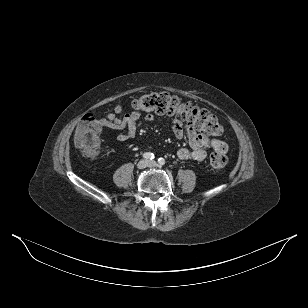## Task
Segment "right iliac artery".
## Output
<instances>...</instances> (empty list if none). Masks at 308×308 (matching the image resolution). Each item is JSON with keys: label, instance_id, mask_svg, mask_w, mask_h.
<instances>
[{"label": "right iliac artery", "instance_id": "obj_1", "mask_svg": "<svg viewBox=\"0 0 308 308\" xmlns=\"http://www.w3.org/2000/svg\"><path fill=\"white\" fill-rule=\"evenodd\" d=\"M143 158L147 159V160H152L154 159V154L151 152H146L143 154Z\"/></svg>", "mask_w": 308, "mask_h": 308}]
</instances>
